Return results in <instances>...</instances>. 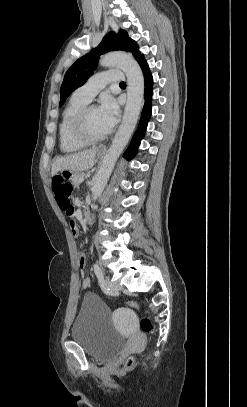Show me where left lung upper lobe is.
Wrapping results in <instances>:
<instances>
[{"instance_id": "1", "label": "left lung upper lobe", "mask_w": 247, "mask_h": 407, "mask_svg": "<svg viewBox=\"0 0 247 407\" xmlns=\"http://www.w3.org/2000/svg\"><path fill=\"white\" fill-rule=\"evenodd\" d=\"M123 50L131 52L136 60L142 55L134 40L124 30L119 34L109 33L102 42L88 54L80 57L66 72L60 88V105L78 87L82 86L92 75L101 54L109 51Z\"/></svg>"}]
</instances>
